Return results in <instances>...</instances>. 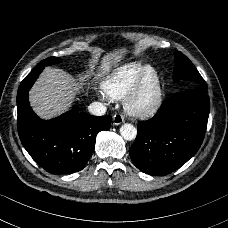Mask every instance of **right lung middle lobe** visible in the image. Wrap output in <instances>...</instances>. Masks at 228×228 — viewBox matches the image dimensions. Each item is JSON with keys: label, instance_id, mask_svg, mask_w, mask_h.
Segmentation results:
<instances>
[{"label": "right lung middle lobe", "instance_id": "right-lung-middle-lobe-1", "mask_svg": "<svg viewBox=\"0 0 228 228\" xmlns=\"http://www.w3.org/2000/svg\"><path fill=\"white\" fill-rule=\"evenodd\" d=\"M59 61H60L59 58L50 57V58H47V59L41 61L40 63H38L35 68H44L45 66L59 63Z\"/></svg>", "mask_w": 228, "mask_h": 228}]
</instances>
